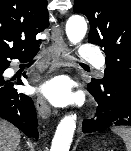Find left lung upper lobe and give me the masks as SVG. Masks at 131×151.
<instances>
[{"mask_svg": "<svg viewBox=\"0 0 131 151\" xmlns=\"http://www.w3.org/2000/svg\"><path fill=\"white\" fill-rule=\"evenodd\" d=\"M74 12L88 18V42L106 54L104 77L92 82L131 88V0H75Z\"/></svg>", "mask_w": 131, "mask_h": 151, "instance_id": "obj_1", "label": "left lung upper lobe"}]
</instances>
